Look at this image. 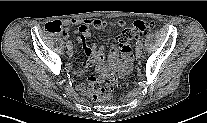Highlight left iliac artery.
Here are the masks:
<instances>
[{
    "label": "left iliac artery",
    "instance_id": "obj_1",
    "mask_svg": "<svg viewBox=\"0 0 207 123\" xmlns=\"http://www.w3.org/2000/svg\"><path fill=\"white\" fill-rule=\"evenodd\" d=\"M136 45H139L141 47L143 46L142 41L140 40V38L137 39Z\"/></svg>",
    "mask_w": 207,
    "mask_h": 123
}]
</instances>
